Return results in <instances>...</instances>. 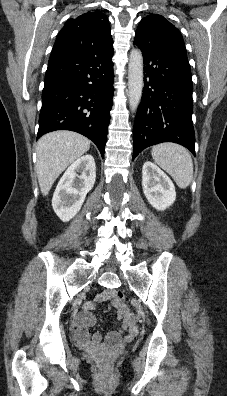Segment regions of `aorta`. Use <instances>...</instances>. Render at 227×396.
<instances>
[{
    "label": "aorta",
    "mask_w": 227,
    "mask_h": 396,
    "mask_svg": "<svg viewBox=\"0 0 227 396\" xmlns=\"http://www.w3.org/2000/svg\"><path fill=\"white\" fill-rule=\"evenodd\" d=\"M129 106L135 112L140 104L143 90V57L138 48L131 50L128 64Z\"/></svg>",
    "instance_id": "762f6f07"
}]
</instances>
